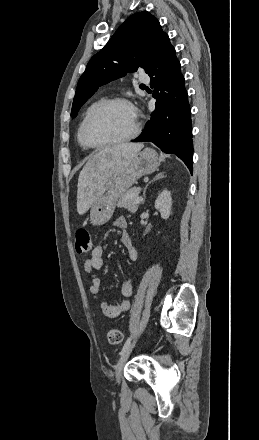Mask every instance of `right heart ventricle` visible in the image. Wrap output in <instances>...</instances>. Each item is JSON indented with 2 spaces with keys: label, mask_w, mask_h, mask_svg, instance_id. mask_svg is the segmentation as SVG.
<instances>
[{
  "label": "right heart ventricle",
  "mask_w": 259,
  "mask_h": 440,
  "mask_svg": "<svg viewBox=\"0 0 259 440\" xmlns=\"http://www.w3.org/2000/svg\"><path fill=\"white\" fill-rule=\"evenodd\" d=\"M100 101H93V102H91L88 106H87V108L85 109V111H84V114H83V116H82V118H81V120H80V123H79V125H78V128H77V133H76V138H77V142L79 143V145L84 149V150H88L89 148L88 147H86L85 145H84V143H83V141H82V138H81V126H82V123H83V121H84V119H85V117H86V115L88 114V112L97 104V103H99Z\"/></svg>",
  "instance_id": "right-heart-ventricle-1"
}]
</instances>
